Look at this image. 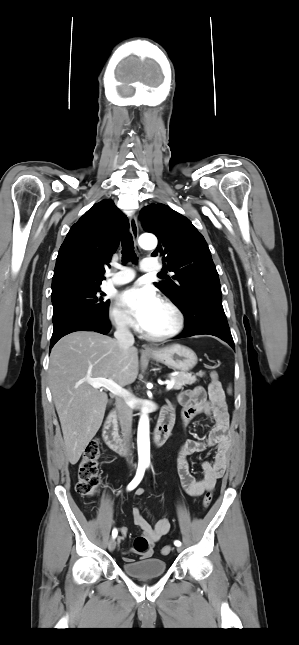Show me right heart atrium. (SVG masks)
<instances>
[{
  "label": "right heart atrium",
  "mask_w": 299,
  "mask_h": 645,
  "mask_svg": "<svg viewBox=\"0 0 299 645\" xmlns=\"http://www.w3.org/2000/svg\"><path fill=\"white\" fill-rule=\"evenodd\" d=\"M111 324L119 330H130L134 327L131 317L117 305H113L108 313Z\"/></svg>",
  "instance_id": "obj_1"
}]
</instances>
